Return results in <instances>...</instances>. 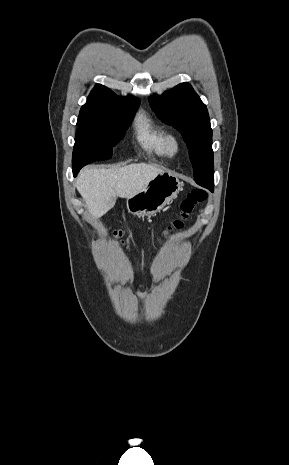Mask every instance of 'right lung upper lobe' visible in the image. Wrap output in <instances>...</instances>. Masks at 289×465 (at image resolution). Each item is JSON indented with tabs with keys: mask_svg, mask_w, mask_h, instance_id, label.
Segmentation results:
<instances>
[{
	"mask_svg": "<svg viewBox=\"0 0 289 465\" xmlns=\"http://www.w3.org/2000/svg\"><path fill=\"white\" fill-rule=\"evenodd\" d=\"M123 102H139L137 98L119 97L109 88L98 84L82 106L78 118L80 124H101L108 121L111 106Z\"/></svg>",
	"mask_w": 289,
	"mask_h": 465,
	"instance_id": "obj_1",
	"label": "right lung upper lobe"
}]
</instances>
